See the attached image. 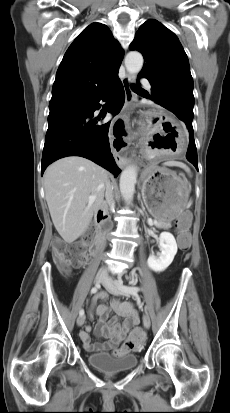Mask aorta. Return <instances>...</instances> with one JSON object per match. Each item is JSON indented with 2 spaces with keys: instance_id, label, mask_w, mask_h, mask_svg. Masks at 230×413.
Here are the masks:
<instances>
[{
  "instance_id": "762f6f07",
  "label": "aorta",
  "mask_w": 230,
  "mask_h": 413,
  "mask_svg": "<svg viewBox=\"0 0 230 413\" xmlns=\"http://www.w3.org/2000/svg\"><path fill=\"white\" fill-rule=\"evenodd\" d=\"M143 62V56L137 51L129 52L125 57V67L132 75L141 71ZM136 180L137 169L135 166H128L122 171L119 186L124 200L128 203L133 200Z\"/></svg>"
}]
</instances>
